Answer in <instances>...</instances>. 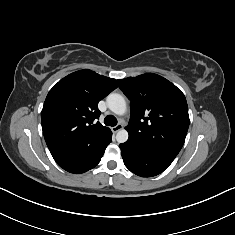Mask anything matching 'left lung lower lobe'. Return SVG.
I'll list each match as a JSON object with an SVG mask.
<instances>
[{
	"label": "left lung lower lobe",
	"instance_id": "left-lung-lower-lobe-1",
	"mask_svg": "<svg viewBox=\"0 0 235 235\" xmlns=\"http://www.w3.org/2000/svg\"><path fill=\"white\" fill-rule=\"evenodd\" d=\"M125 166L141 177H152L163 172L174 160L151 149L141 147L132 141L120 144Z\"/></svg>",
	"mask_w": 235,
	"mask_h": 235
}]
</instances>
